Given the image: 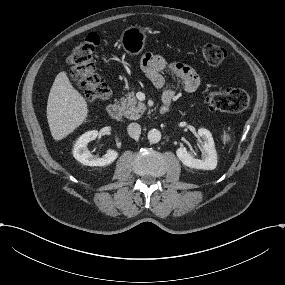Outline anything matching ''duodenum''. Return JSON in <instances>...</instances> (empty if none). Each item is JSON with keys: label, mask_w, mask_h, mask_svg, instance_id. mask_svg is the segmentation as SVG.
<instances>
[{"label": "duodenum", "mask_w": 285, "mask_h": 285, "mask_svg": "<svg viewBox=\"0 0 285 285\" xmlns=\"http://www.w3.org/2000/svg\"><path fill=\"white\" fill-rule=\"evenodd\" d=\"M173 95L169 92L163 95L162 104L159 108L160 114H166L171 106ZM107 112L112 119H120L122 116V109L118 103H113L108 106Z\"/></svg>", "instance_id": "410a0bca"}]
</instances>
